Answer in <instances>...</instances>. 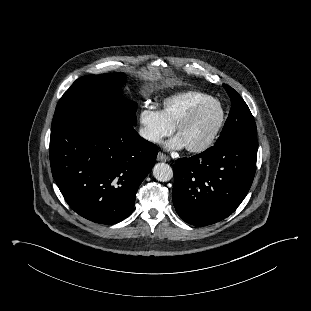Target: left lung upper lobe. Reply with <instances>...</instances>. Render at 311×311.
Returning a JSON list of instances; mask_svg holds the SVG:
<instances>
[{
	"mask_svg": "<svg viewBox=\"0 0 311 311\" xmlns=\"http://www.w3.org/2000/svg\"><path fill=\"white\" fill-rule=\"evenodd\" d=\"M223 87L231 99L232 107L215 145L235 139H257L256 124L247 104L233 88L225 84Z\"/></svg>",
	"mask_w": 311,
	"mask_h": 311,
	"instance_id": "1",
	"label": "left lung upper lobe"
}]
</instances>
